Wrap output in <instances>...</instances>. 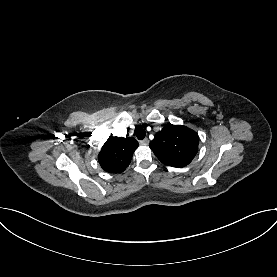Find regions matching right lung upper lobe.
I'll return each instance as SVG.
<instances>
[{
  "instance_id": "right-lung-upper-lobe-1",
  "label": "right lung upper lobe",
  "mask_w": 277,
  "mask_h": 277,
  "mask_svg": "<svg viewBox=\"0 0 277 277\" xmlns=\"http://www.w3.org/2000/svg\"><path fill=\"white\" fill-rule=\"evenodd\" d=\"M138 142L132 137L110 136L103 145L98 160L101 167L109 173H121L130 164Z\"/></svg>"
}]
</instances>
